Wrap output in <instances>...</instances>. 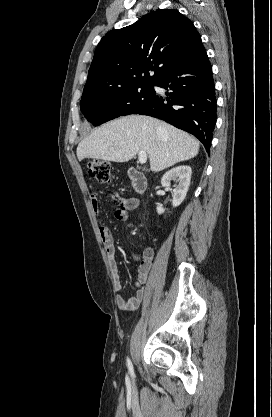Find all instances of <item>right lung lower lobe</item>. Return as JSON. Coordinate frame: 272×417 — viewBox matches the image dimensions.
<instances>
[{"mask_svg": "<svg viewBox=\"0 0 272 417\" xmlns=\"http://www.w3.org/2000/svg\"><path fill=\"white\" fill-rule=\"evenodd\" d=\"M168 90L134 114L156 117L195 135L209 153L216 124V95L211 64L203 45L184 62L154 81Z\"/></svg>", "mask_w": 272, "mask_h": 417, "instance_id": "1", "label": "right lung lower lobe"}]
</instances>
